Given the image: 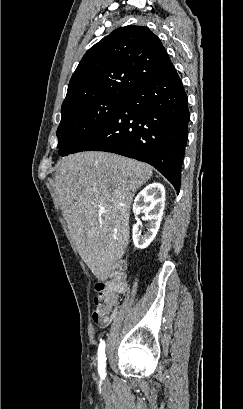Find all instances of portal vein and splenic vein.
Wrapping results in <instances>:
<instances>
[{
    "mask_svg": "<svg viewBox=\"0 0 243 409\" xmlns=\"http://www.w3.org/2000/svg\"><path fill=\"white\" fill-rule=\"evenodd\" d=\"M104 210H105V208H104V207H100V209H99V211H100L101 213H103V212H104Z\"/></svg>",
    "mask_w": 243,
    "mask_h": 409,
    "instance_id": "portal-vein-and-splenic-vein-1",
    "label": "portal vein and splenic vein"
}]
</instances>
